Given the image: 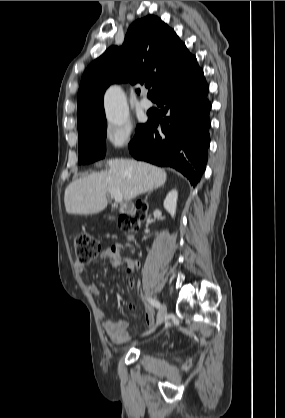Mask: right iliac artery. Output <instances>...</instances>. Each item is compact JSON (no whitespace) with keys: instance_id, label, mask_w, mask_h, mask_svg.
<instances>
[{"instance_id":"obj_1","label":"right iliac artery","mask_w":285,"mask_h":418,"mask_svg":"<svg viewBox=\"0 0 285 418\" xmlns=\"http://www.w3.org/2000/svg\"><path fill=\"white\" fill-rule=\"evenodd\" d=\"M147 300L153 307L160 308L161 305H160V302L158 300H155V299H152V298H148Z\"/></svg>"}]
</instances>
